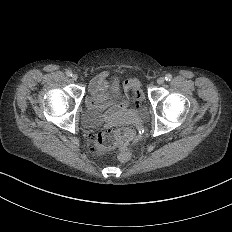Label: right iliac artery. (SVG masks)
<instances>
[{"label":"right iliac artery","mask_w":232,"mask_h":232,"mask_svg":"<svg viewBox=\"0 0 232 232\" xmlns=\"http://www.w3.org/2000/svg\"><path fill=\"white\" fill-rule=\"evenodd\" d=\"M66 75H67L68 77H71V76H72V72L68 70V71L66 72Z\"/></svg>","instance_id":"82829eb1"}]
</instances>
